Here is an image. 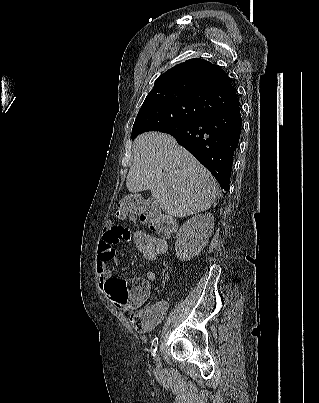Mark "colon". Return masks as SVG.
I'll list each match as a JSON object with an SVG mask.
<instances>
[{"label": "colon", "mask_w": 319, "mask_h": 403, "mask_svg": "<svg viewBox=\"0 0 319 403\" xmlns=\"http://www.w3.org/2000/svg\"><path fill=\"white\" fill-rule=\"evenodd\" d=\"M120 211L125 217H139V220L149 225L150 229H136L132 238H127L137 250L138 258H163L167 251V240L174 229V222L161 214L156 203L144 201L142 192H128L127 197L121 198ZM156 234H152V231Z\"/></svg>", "instance_id": "colon-1"}]
</instances>
